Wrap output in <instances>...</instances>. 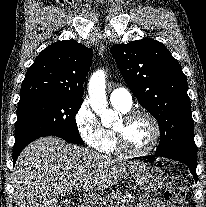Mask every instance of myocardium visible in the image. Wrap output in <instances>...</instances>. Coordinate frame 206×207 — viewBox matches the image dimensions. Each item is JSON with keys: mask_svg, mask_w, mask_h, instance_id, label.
Wrapping results in <instances>:
<instances>
[{"mask_svg": "<svg viewBox=\"0 0 206 207\" xmlns=\"http://www.w3.org/2000/svg\"><path fill=\"white\" fill-rule=\"evenodd\" d=\"M139 117L147 118L150 121V123L152 124L153 130H154L153 139L147 148H145L143 150H139V151L130 149L128 147V145L126 144L123 130L118 129V128H114V130H113L114 134H115V138H116L117 148L119 149L120 152H122L123 154H125L129 157H144V156L149 155L150 153H152L156 149V147L158 146V144L161 140V136H162L161 126H160L158 120L156 119V117L148 111L132 110L130 112L125 113L123 115L121 121H122L123 125L125 126L129 122H131L132 120L139 118Z\"/></svg>", "mask_w": 206, "mask_h": 207, "instance_id": "myocardium-1", "label": "myocardium"}]
</instances>
